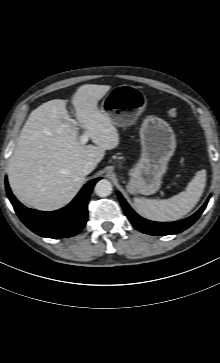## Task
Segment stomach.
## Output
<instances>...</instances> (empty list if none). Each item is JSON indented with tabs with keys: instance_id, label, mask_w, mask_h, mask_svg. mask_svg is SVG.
I'll list each match as a JSON object with an SVG mask.
<instances>
[{
	"instance_id": "obj_1",
	"label": "stomach",
	"mask_w": 220,
	"mask_h": 363,
	"mask_svg": "<svg viewBox=\"0 0 220 363\" xmlns=\"http://www.w3.org/2000/svg\"><path fill=\"white\" fill-rule=\"evenodd\" d=\"M147 106L145 94L137 87H114L103 99L100 110L119 127L132 125ZM141 156L128 170L127 190L131 194L151 195L162 184L168 162L176 148L175 134L163 119L149 115L140 128Z\"/></svg>"
}]
</instances>
